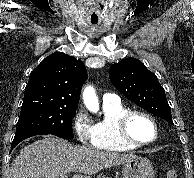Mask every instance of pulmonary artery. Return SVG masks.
<instances>
[{"label": "pulmonary artery", "mask_w": 194, "mask_h": 178, "mask_svg": "<svg viewBox=\"0 0 194 178\" xmlns=\"http://www.w3.org/2000/svg\"><path fill=\"white\" fill-rule=\"evenodd\" d=\"M118 100L117 96L111 93H107L103 96V102H110Z\"/></svg>", "instance_id": "obj_1"}]
</instances>
